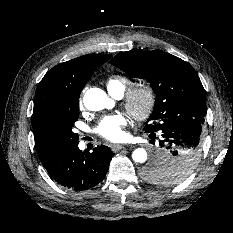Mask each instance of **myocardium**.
I'll return each mask as SVG.
<instances>
[{
  "instance_id": "obj_1",
  "label": "myocardium",
  "mask_w": 233,
  "mask_h": 233,
  "mask_svg": "<svg viewBox=\"0 0 233 233\" xmlns=\"http://www.w3.org/2000/svg\"><path fill=\"white\" fill-rule=\"evenodd\" d=\"M157 106V92L150 84L130 87L124 95V107L137 122H145L152 117Z\"/></svg>"
}]
</instances>
